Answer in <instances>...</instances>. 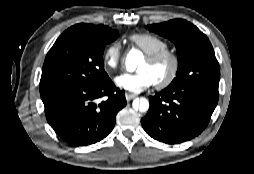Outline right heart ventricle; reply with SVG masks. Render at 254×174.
<instances>
[{
  "label": "right heart ventricle",
  "instance_id": "e07e8e85",
  "mask_svg": "<svg viewBox=\"0 0 254 174\" xmlns=\"http://www.w3.org/2000/svg\"><path fill=\"white\" fill-rule=\"evenodd\" d=\"M133 46L140 49L145 55L169 48L168 42L153 33H136L129 37Z\"/></svg>",
  "mask_w": 254,
  "mask_h": 174
}]
</instances>
